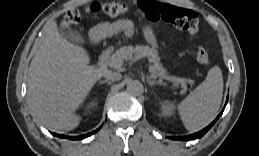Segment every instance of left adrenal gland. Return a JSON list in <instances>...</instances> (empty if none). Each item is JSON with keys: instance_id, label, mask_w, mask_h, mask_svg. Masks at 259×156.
Here are the masks:
<instances>
[{"instance_id": "a2214340", "label": "left adrenal gland", "mask_w": 259, "mask_h": 156, "mask_svg": "<svg viewBox=\"0 0 259 156\" xmlns=\"http://www.w3.org/2000/svg\"><path fill=\"white\" fill-rule=\"evenodd\" d=\"M148 84L153 87L154 85H165V83L160 79L158 81L152 80L150 77H147Z\"/></svg>"}]
</instances>
